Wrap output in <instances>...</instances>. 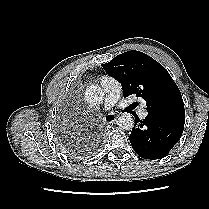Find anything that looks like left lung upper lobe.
Masks as SVG:
<instances>
[{"instance_id":"left-lung-upper-lobe-1","label":"left lung upper lobe","mask_w":209,"mask_h":209,"mask_svg":"<svg viewBox=\"0 0 209 209\" xmlns=\"http://www.w3.org/2000/svg\"><path fill=\"white\" fill-rule=\"evenodd\" d=\"M121 83L123 96L136 94L147 102L148 115L185 123L181 93L168 73L156 60L139 51H128L102 65Z\"/></svg>"}]
</instances>
